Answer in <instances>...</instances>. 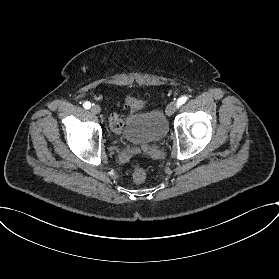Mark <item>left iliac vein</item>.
<instances>
[{
	"label": "left iliac vein",
	"mask_w": 279,
	"mask_h": 279,
	"mask_svg": "<svg viewBox=\"0 0 279 279\" xmlns=\"http://www.w3.org/2000/svg\"><path fill=\"white\" fill-rule=\"evenodd\" d=\"M177 109V104L175 102H171L166 108V114L168 116H172Z\"/></svg>",
	"instance_id": "obj_1"
}]
</instances>
